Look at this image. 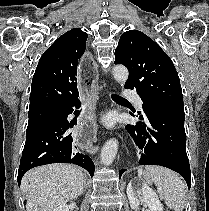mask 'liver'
<instances>
[{
  "label": "liver",
  "instance_id": "1",
  "mask_svg": "<svg viewBox=\"0 0 209 211\" xmlns=\"http://www.w3.org/2000/svg\"><path fill=\"white\" fill-rule=\"evenodd\" d=\"M84 175L71 164H49L29 170L21 190L27 196L26 211H54L81 195Z\"/></svg>",
  "mask_w": 209,
  "mask_h": 211
}]
</instances>
